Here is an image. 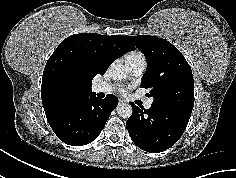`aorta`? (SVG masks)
<instances>
[{"label": "aorta", "instance_id": "762f6f07", "mask_svg": "<svg viewBox=\"0 0 236 178\" xmlns=\"http://www.w3.org/2000/svg\"><path fill=\"white\" fill-rule=\"evenodd\" d=\"M109 72L114 80H122L126 77V69L121 63L111 64ZM116 110L117 114L124 119L129 118L133 112L131 105L127 103L118 104Z\"/></svg>", "mask_w": 236, "mask_h": 178}]
</instances>
